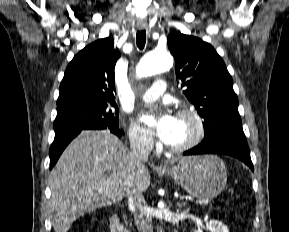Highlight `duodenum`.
Returning <instances> with one entry per match:
<instances>
[{"instance_id": "1", "label": "duodenum", "mask_w": 289, "mask_h": 232, "mask_svg": "<svg viewBox=\"0 0 289 232\" xmlns=\"http://www.w3.org/2000/svg\"><path fill=\"white\" fill-rule=\"evenodd\" d=\"M110 230L111 232H127L125 227L120 221V217L118 214H113L110 217Z\"/></svg>"}]
</instances>
